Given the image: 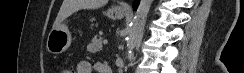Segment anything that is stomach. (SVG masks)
Masks as SVG:
<instances>
[{
  "label": "stomach",
  "mask_w": 244,
  "mask_h": 73,
  "mask_svg": "<svg viewBox=\"0 0 244 73\" xmlns=\"http://www.w3.org/2000/svg\"><path fill=\"white\" fill-rule=\"evenodd\" d=\"M125 12L114 7L107 11L106 15L111 19H121ZM71 34L66 24L61 23L50 31L46 47L49 53L58 55L65 52L71 45Z\"/></svg>",
  "instance_id": "0dacf381"
}]
</instances>
